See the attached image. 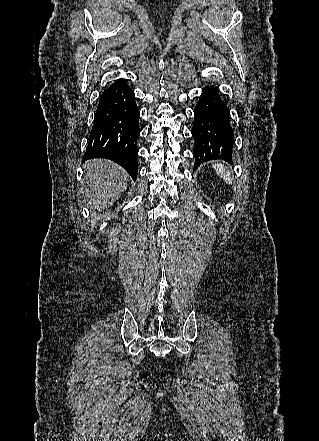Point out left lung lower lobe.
Here are the masks:
<instances>
[{"instance_id":"0a47b994","label":"left lung lower lobe","mask_w":319,"mask_h":441,"mask_svg":"<svg viewBox=\"0 0 319 441\" xmlns=\"http://www.w3.org/2000/svg\"><path fill=\"white\" fill-rule=\"evenodd\" d=\"M233 133L226 103L213 86L203 88L194 109V169L208 160L221 159L229 162L233 152Z\"/></svg>"}]
</instances>
